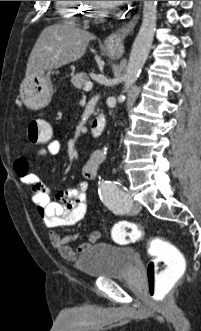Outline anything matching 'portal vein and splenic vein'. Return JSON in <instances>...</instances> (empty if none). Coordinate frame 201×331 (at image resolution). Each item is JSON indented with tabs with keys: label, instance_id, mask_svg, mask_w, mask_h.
Instances as JSON below:
<instances>
[{
	"label": "portal vein and splenic vein",
	"instance_id": "1",
	"mask_svg": "<svg viewBox=\"0 0 201 331\" xmlns=\"http://www.w3.org/2000/svg\"><path fill=\"white\" fill-rule=\"evenodd\" d=\"M93 87V83L92 82H86L84 85V90L85 91H90Z\"/></svg>",
	"mask_w": 201,
	"mask_h": 331
}]
</instances>
